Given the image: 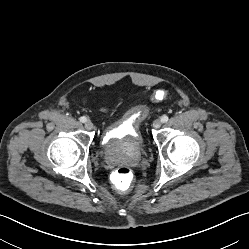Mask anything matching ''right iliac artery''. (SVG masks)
Segmentation results:
<instances>
[{
	"mask_svg": "<svg viewBox=\"0 0 249 249\" xmlns=\"http://www.w3.org/2000/svg\"><path fill=\"white\" fill-rule=\"evenodd\" d=\"M80 122L85 123L87 121V118L85 116H82L79 118Z\"/></svg>",
	"mask_w": 249,
	"mask_h": 249,
	"instance_id": "obj_1",
	"label": "right iliac artery"
}]
</instances>
